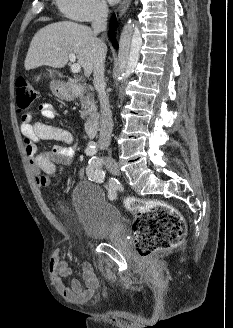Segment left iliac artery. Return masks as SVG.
<instances>
[{
    "mask_svg": "<svg viewBox=\"0 0 233 328\" xmlns=\"http://www.w3.org/2000/svg\"><path fill=\"white\" fill-rule=\"evenodd\" d=\"M103 160L93 156L89 160V165L86 169L87 175L91 181L101 183L104 181L105 173L102 169Z\"/></svg>",
    "mask_w": 233,
    "mask_h": 328,
    "instance_id": "obj_1",
    "label": "left iliac artery"
}]
</instances>
